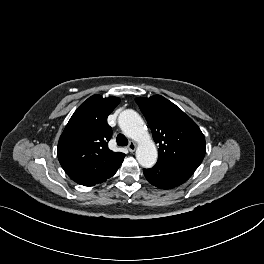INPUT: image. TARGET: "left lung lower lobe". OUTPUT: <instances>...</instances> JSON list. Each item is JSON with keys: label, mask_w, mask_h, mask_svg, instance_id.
<instances>
[{"label": "left lung lower lobe", "mask_w": 264, "mask_h": 264, "mask_svg": "<svg viewBox=\"0 0 264 264\" xmlns=\"http://www.w3.org/2000/svg\"><path fill=\"white\" fill-rule=\"evenodd\" d=\"M194 171L188 166L164 160H158L150 169H143L148 182L161 189H171L181 185Z\"/></svg>", "instance_id": "obj_1"}]
</instances>
